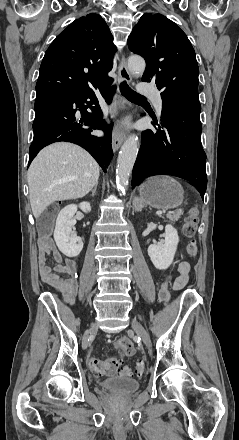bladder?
<instances>
[{
  "mask_svg": "<svg viewBox=\"0 0 239 440\" xmlns=\"http://www.w3.org/2000/svg\"><path fill=\"white\" fill-rule=\"evenodd\" d=\"M101 387L121 394H132L139 390L141 384L130 377H112L101 381Z\"/></svg>",
  "mask_w": 239,
  "mask_h": 440,
  "instance_id": "31cf9c89",
  "label": "bladder"
}]
</instances>
